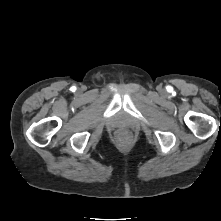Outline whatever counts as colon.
Returning <instances> with one entry per match:
<instances>
[{
	"instance_id": "colon-1",
	"label": "colon",
	"mask_w": 221,
	"mask_h": 221,
	"mask_svg": "<svg viewBox=\"0 0 221 221\" xmlns=\"http://www.w3.org/2000/svg\"><path fill=\"white\" fill-rule=\"evenodd\" d=\"M127 137H128V134H127V132H125V131H120V132L118 133V138H119V140H121V141H124Z\"/></svg>"
}]
</instances>
